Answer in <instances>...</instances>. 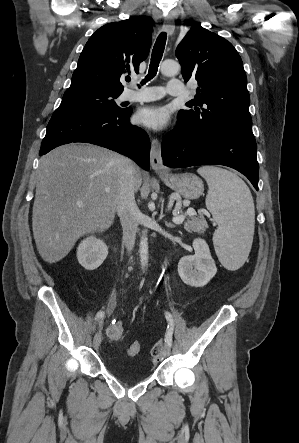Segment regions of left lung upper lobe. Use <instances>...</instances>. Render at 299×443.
I'll list each match as a JSON object with an SVG mask.
<instances>
[{
    "label": "left lung upper lobe",
    "mask_w": 299,
    "mask_h": 443,
    "mask_svg": "<svg viewBox=\"0 0 299 443\" xmlns=\"http://www.w3.org/2000/svg\"><path fill=\"white\" fill-rule=\"evenodd\" d=\"M187 82L196 79L199 88L191 110L178 118L196 130L252 132L250 96L241 57L233 45L201 26L192 27L176 49Z\"/></svg>",
    "instance_id": "1"
}]
</instances>
